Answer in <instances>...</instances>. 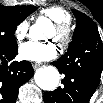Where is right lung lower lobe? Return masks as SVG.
Listing matches in <instances>:
<instances>
[{
    "label": "right lung lower lobe",
    "instance_id": "1",
    "mask_svg": "<svg viewBox=\"0 0 103 103\" xmlns=\"http://www.w3.org/2000/svg\"><path fill=\"white\" fill-rule=\"evenodd\" d=\"M18 49L13 51H0V103H15L19 87L27 82L34 73L28 61H8L14 59Z\"/></svg>",
    "mask_w": 103,
    "mask_h": 103
}]
</instances>
